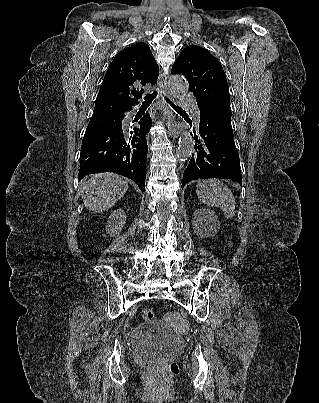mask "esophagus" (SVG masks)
Returning <instances> with one entry per match:
<instances>
[{"label": "esophagus", "mask_w": 319, "mask_h": 403, "mask_svg": "<svg viewBox=\"0 0 319 403\" xmlns=\"http://www.w3.org/2000/svg\"><path fill=\"white\" fill-rule=\"evenodd\" d=\"M158 86L160 92L162 94L161 103L163 104L164 108V116L167 120V127L169 133L172 135L173 138H178L180 131L175 125L174 117L172 116V111L167 105L166 101L164 100L165 96H169L168 86H167V76L165 74H160L158 78Z\"/></svg>", "instance_id": "obj_1"}]
</instances>
